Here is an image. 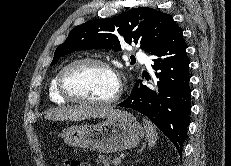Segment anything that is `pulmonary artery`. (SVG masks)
Segmentation results:
<instances>
[{
    "instance_id": "obj_1",
    "label": "pulmonary artery",
    "mask_w": 231,
    "mask_h": 166,
    "mask_svg": "<svg viewBox=\"0 0 231 166\" xmlns=\"http://www.w3.org/2000/svg\"><path fill=\"white\" fill-rule=\"evenodd\" d=\"M136 57L144 63H148L149 61L148 58H146V56L142 52H137Z\"/></svg>"
}]
</instances>
